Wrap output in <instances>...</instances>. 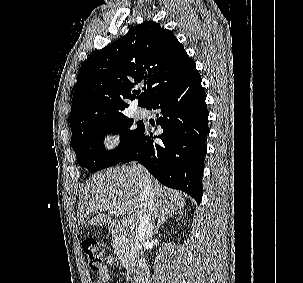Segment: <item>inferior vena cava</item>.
Masks as SVG:
<instances>
[{"label": "inferior vena cava", "mask_w": 303, "mask_h": 283, "mask_svg": "<svg viewBox=\"0 0 303 283\" xmlns=\"http://www.w3.org/2000/svg\"><path fill=\"white\" fill-rule=\"evenodd\" d=\"M133 167L137 170H143V167L139 164H134ZM140 185L142 188V212L139 215V224L135 234V244L137 248H140L143 244L150 240L153 235L154 228L151 216L147 211V207L150 203L149 201L153 195L151 180L148 174H143L140 179Z\"/></svg>", "instance_id": "1"}]
</instances>
